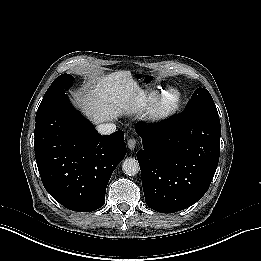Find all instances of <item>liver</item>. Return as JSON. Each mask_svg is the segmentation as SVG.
<instances>
[{
	"label": "liver",
	"instance_id": "liver-1",
	"mask_svg": "<svg viewBox=\"0 0 261 261\" xmlns=\"http://www.w3.org/2000/svg\"><path fill=\"white\" fill-rule=\"evenodd\" d=\"M115 75L97 77L76 100L87 118L97 125L105 121L116 119L121 113V101L113 86Z\"/></svg>",
	"mask_w": 261,
	"mask_h": 261
}]
</instances>
